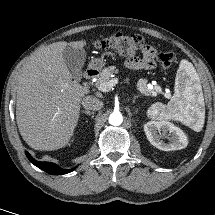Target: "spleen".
<instances>
[{"label":"spleen","instance_id":"obj_1","mask_svg":"<svg viewBox=\"0 0 215 215\" xmlns=\"http://www.w3.org/2000/svg\"><path fill=\"white\" fill-rule=\"evenodd\" d=\"M197 73L192 63L182 60L176 75L175 93L167 105L155 103L148 115L160 120L179 121L200 131L205 119L204 98L197 90Z\"/></svg>","mask_w":215,"mask_h":215}]
</instances>
